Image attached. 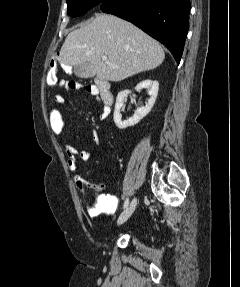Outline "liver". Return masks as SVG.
<instances>
[{"mask_svg":"<svg viewBox=\"0 0 240 287\" xmlns=\"http://www.w3.org/2000/svg\"><path fill=\"white\" fill-rule=\"evenodd\" d=\"M164 58L160 44L141 29L114 15L99 14L68 34L59 62L65 66L88 63L97 79L118 82L158 67Z\"/></svg>","mask_w":240,"mask_h":287,"instance_id":"6515ba94","label":"liver"}]
</instances>
